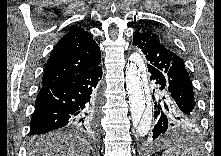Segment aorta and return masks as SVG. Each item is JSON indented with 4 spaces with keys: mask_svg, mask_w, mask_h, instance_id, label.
Masks as SVG:
<instances>
[{
    "mask_svg": "<svg viewBox=\"0 0 221 156\" xmlns=\"http://www.w3.org/2000/svg\"><path fill=\"white\" fill-rule=\"evenodd\" d=\"M126 89L132 123L140 136L148 134L152 122L146 67L139 53H133L126 65Z\"/></svg>",
    "mask_w": 221,
    "mask_h": 156,
    "instance_id": "obj_1",
    "label": "aorta"
}]
</instances>
